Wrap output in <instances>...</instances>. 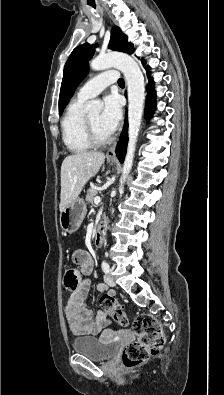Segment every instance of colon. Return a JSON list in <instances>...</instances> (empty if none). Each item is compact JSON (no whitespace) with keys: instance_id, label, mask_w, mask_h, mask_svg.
I'll return each instance as SVG.
<instances>
[{"instance_id":"obj_1","label":"colon","mask_w":224,"mask_h":395,"mask_svg":"<svg viewBox=\"0 0 224 395\" xmlns=\"http://www.w3.org/2000/svg\"><path fill=\"white\" fill-rule=\"evenodd\" d=\"M65 279L67 288H76L79 281V271L75 267H69ZM100 305L102 310L111 314L119 325L125 327L129 324L127 314L111 295L102 296ZM133 330L137 335V340L127 344L121 353L122 362L128 368L136 367L144 363L150 356L158 354L166 339L160 323L150 315L136 316L133 321Z\"/></svg>"}]
</instances>
